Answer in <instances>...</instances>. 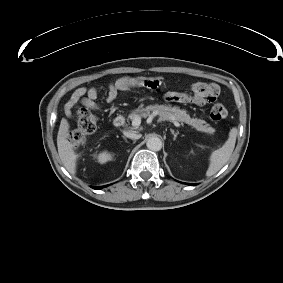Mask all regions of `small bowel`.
Returning a JSON list of instances; mask_svg holds the SVG:
<instances>
[{
  "label": "small bowel",
  "instance_id": "obj_1",
  "mask_svg": "<svg viewBox=\"0 0 283 283\" xmlns=\"http://www.w3.org/2000/svg\"><path fill=\"white\" fill-rule=\"evenodd\" d=\"M146 82L156 87L161 83V79L151 78ZM135 84H137V79L133 76H123L118 78L116 81L108 84L106 100L108 102L114 101L121 91L128 89ZM192 91V100L194 104L204 105L207 102H212L215 100L219 93V87L214 83L206 84L199 82L193 85ZM98 94L99 89L96 86L77 88L65 104L66 115L71 116L72 110L79 104L93 109L97 108ZM165 100L172 102H187L189 99L184 94L169 92L165 95Z\"/></svg>",
  "mask_w": 283,
  "mask_h": 283
}]
</instances>
